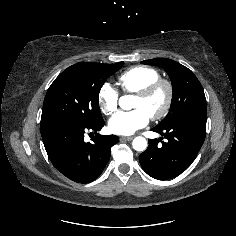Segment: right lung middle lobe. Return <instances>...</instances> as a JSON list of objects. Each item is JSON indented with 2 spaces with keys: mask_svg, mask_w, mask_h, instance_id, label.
I'll return each instance as SVG.
<instances>
[{
  "mask_svg": "<svg viewBox=\"0 0 236 236\" xmlns=\"http://www.w3.org/2000/svg\"><path fill=\"white\" fill-rule=\"evenodd\" d=\"M123 64L81 62L64 70L46 93L40 127L61 120L88 125L102 121L98 101L100 89Z\"/></svg>",
  "mask_w": 236,
  "mask_h": 236,
  "instance_id": "1",
  "label": "right lung middle lobe"
}]
</instances>
